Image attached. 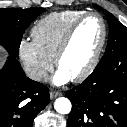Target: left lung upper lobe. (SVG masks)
<instances>
[{
    "label": "left lung upper lobe",
    "instance_id": "left-lung-upper-lobe-1",
    "mask_svg": "<svg viewBox=\"0 0 127 127\" xmlns=\"http://www.w3.org/2000/svg\"><path fill=\"white\" fill-rule=\"evenodd\" d=\"M109 23V38L102 58L109 57L115 50L127 47V27L121 24L111 13L106 14Z\"/></svg>",
    "mask_w": 127,
    "mask_h": 127
}]
</instances>
